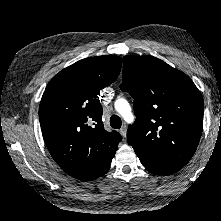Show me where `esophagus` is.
Masks as SVG:
<instances>
[{
  "label": "esophagus",
  "instance_id": "1",
  "mask_svg": "<svg viewBox=\"0 0 221 221\" xmlns=\"http://www.w3.org/2000/svg\"><path fill=\"white\" fill-rule=\"evenodd\" d=\"M120 134L122 135L123 138L126 137V126H123V127L120 129Z\"/></svg>",
  "mask_w": 221,
  "mask_h": 221
}]
</instances>
